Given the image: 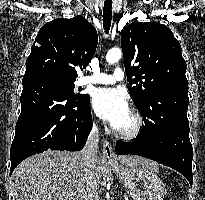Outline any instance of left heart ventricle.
<instances>
[{"mask_svg":"<svg viewBox=\"0 0 205 200\" xmlns=\"http://www.w3.org/2000/svg\"><path fill=\"white\" fill-rule=\"evenodd\" d=\"M133 118L131 116V114L129 113L128 116L123 120V122L119 125V127L117 128V130H121V131H125V130H129L132 128L133 126Z\"/></svg>","mask_w":205,"mask_h":200,"instance_id":"b2bd125f","label":"left heart ventricle"}]
</instances>
